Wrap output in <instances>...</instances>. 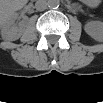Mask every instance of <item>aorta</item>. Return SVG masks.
I'll return each instance as SVG.
<instances>
[{"label":"aorta","instance_id":"1","mask_svg":"<svg viewBox=\"0 0 103 103\" xmlns=\"http://www.w3.org/2000/svg\"><path fill=\"white\" fill-rule=\"evenodd\" d=\"M59 1L58 0H49L48 1V7L49 8H58L59 7Z\"/></svg>","mask_w":103,"mask_h":103}]
</instances>
